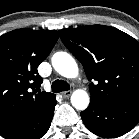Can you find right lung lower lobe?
<instances>
[{"instance_id": "1", "label": "right lung lower lobe", "mask_w": 139, "mask_h": 139, "mask_svg": "<svg viewBox=\"0 0 139 139\" xmlns=\"http://www.w3.org/2000/svg\"><path fill=\"white\" fill-rule=\"evenodd\" d=\"M56 105L55 97L33 114L0 129L6 139H40L48 131Z\"/></svg>"}]
</instances>
